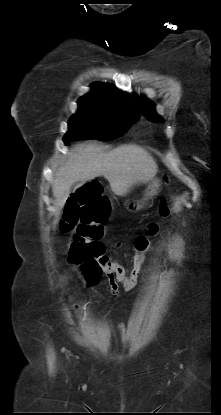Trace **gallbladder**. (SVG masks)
<instances>
[{
  "label": "gallbladder",
  "mask_w": 221,
  "mask_h": 415,
  "mask_svg": "<svg viewBox=\"0 0 221 415\" xmlns=\"http://www.w3.org/2000/svg\"><path fill=\"white\" fill-rule=\"evenodd\" d=\"M83 182L79 181V182H75L72 184L71 189L75 190L77 188H79L82 185Z\"/></svg>",
  "instance_id": "1"
}]
</instances>
